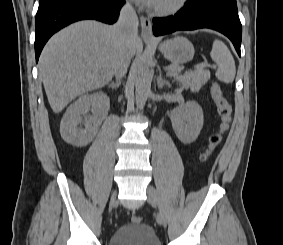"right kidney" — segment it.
<instances>
[{"instance_id":"ca27d5eb","label":"right kidney","mask_w":283,"mask_h":245,"mask_svg":"<svg viewBox=\"0 0 283 245\" xmlns=\"http://www.w3.org/2000/svg\"><path fill=\"white\" fill-rule=\"evenodd\" d=\"M109 105L110 100L103 92L78 98L69 106L61 120L60 134L63 140L77 147L89 144L96 135L98 117L108 111ZM89 110L94 116L83 120L81 115ZM81 123L85 125L84 129L79 127Z\"/></svg>"}]
</instances>
